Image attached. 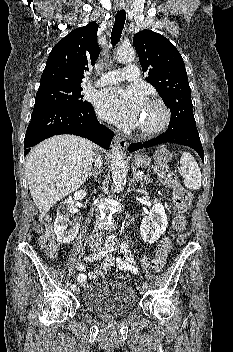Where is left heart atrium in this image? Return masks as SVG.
Instances as JSON below:
<instances>
[{
  "mask_svg": "<svg viewBox=\"0 0 233 352\" xmlns=\"http://www.w3.org/2000/svg\"><path fill=\"white\" fill-rule=\"evenodd\" d=\"M145 99L136 87L107 88L96 98V108L101 116L124 127L133 128L138 125Z\"/></svg>",
  "mask_w": 233,
  "mask_h": 352,
  "instance_id": "obj_1",
  "label": "left heart atrium"
}]
</instances>
